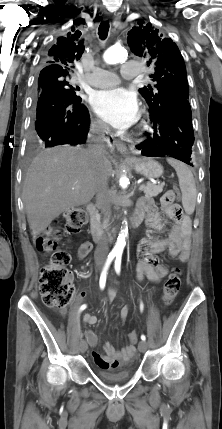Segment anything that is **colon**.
<instances>
[{"label":"colon","mask_w":222,"mask_h":429,"mask_svg":"<svg viewBox=\"0 0 222 429\" xmlns=\"http://www.w3.org/2000/svg\"><path fill=\"white\" fill-rule=\"evenodd\" d=\"M177 190H168L162 197V204L171 205L178 199ZM87 213L84 208H71L64 212L63 220L68 233L79 231L85 223ZM59 233L54 228H48L37 241V247L51 255L50 261L42 269L40 275V293L44 304L48 307L63 308L71 301L74 294L71 274L67 268L70 261L69 254L57 247ZM181 286V270L178 268L167 277L162 289V302L169 305L179 293ZM131 345L138 341V333L129 334Z\"/></svg>","instance_id":"1"}]
</instances>
